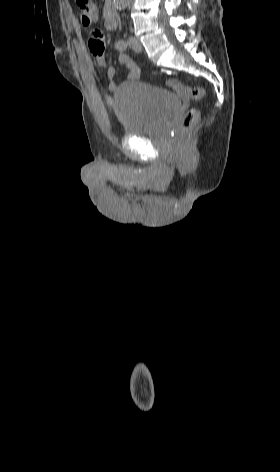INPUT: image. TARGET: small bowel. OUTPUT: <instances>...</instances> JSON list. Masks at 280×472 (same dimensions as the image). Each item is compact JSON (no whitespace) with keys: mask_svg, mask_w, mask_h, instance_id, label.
<instances>
[{"mask_svg":"<svg viewBox=\"0 0 280 472\" xmlns=\"http://www.w3.org/2000/svg\"><path fill=\"white\" fill-rule=\"evenodd\" d=\"M88 47L91 54L94 57L96 64L100 67L106 69V75L109 80V88L110 90L115 89L114 77L116 73V69L114 66L109 65L105 58V44H104V34L99 29H94L90 32ZM118 64L120 66H124L129 70L128 79L129 80H136L140 76V69L138 65L126 54L122 53L118 56ZM168 84L172 87H180V84L175 79H170Z\"/></svg>","mask_w":280,"mask_h":472,"instance_id":"c3829d8e","label":"small bowel"}]
</instances>
